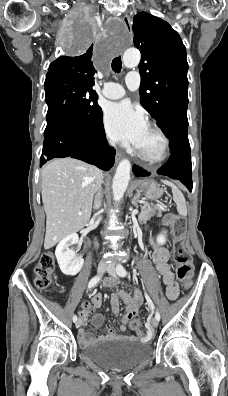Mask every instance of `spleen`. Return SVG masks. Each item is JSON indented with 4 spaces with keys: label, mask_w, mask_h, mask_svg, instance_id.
<instances>
[{
    "label": "spleen",
    "mask_w": 228,
    "mask_h": 396,
    "mask_svg": "<svg viewBox=\"0 0 228 396\" xmlns=\"http://www.w3.org/2000/svg\"><path fill=\"white\" fill-rule=\"evenodd\" d=\"M162 182L171 187L172 194H173V200L177 205L178 213L182 216H186L187 215V206H186V201H185V197H184L183 193L172 182L167 181V180H162Z\"/></svg>",
    "instance_id": "spleen-1"
}]
</instances>
